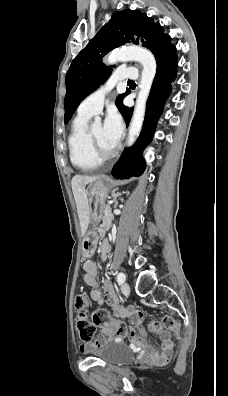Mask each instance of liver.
Segmentation results:
<instances>
[{
	"mask_svg": "<svg viewBox=\"0 0 228 396\" xmlns=\"http://www.w3.org/2000/svg\"><path fill=\"white\" fill-rule=\"evenodd\" d=\"M96 179L97 177L95 176L75 175L71 181L72 191L77 205V212L82 235H84L87 231L90 214L88 194L85 190V186L89 183L94 182Z\"/></svg>",
	"mask_w": 228,
	"mask_h": 396,
	"instance_id": "liver-1",
	"label": "liver"
}]
</instances>
